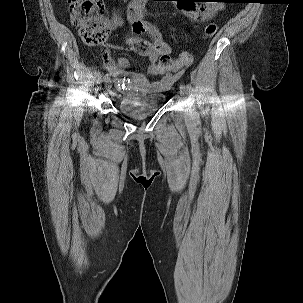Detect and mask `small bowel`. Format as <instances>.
Returning a JSON list of instances; mask_svg holds the SVG:
<instances>
[{
	"instance_id": "obj_1",
	"label": "small bowel",
	"mask_w": 303,
	"mask_h": 303,
	"mask_svg": "<svg viewBox=\"0 0 303 303\" xmlns=\"http://www.w3.org/2000/svg\"><path fill=\"white\" fill-rule=\"evenodd\" d=\"M147 0H131L127 7V19L131 25V31L127 42L138 54L145 56L151 65L148 73L150 75L161 74L160 79L149 81L144 75L130 72V62L127 57H119L114 60L110 49L105 46L102 49V64L112 75L119 89H124L128 84L139 93L165 91L169 89L176 75L172 70L163 71L157 66L158 58L164 52H170L169 46L162 40L159 30L153 24L144 20V6ZM221 0H208L205 3L187 0L184 5H180L181 10L187 18L192 21H207L212 19L223 9ZM123 24V19L119 12H115L110 20V27L116 29ZM143 34L149 36L142 38Z\"/></svg>"
}]
</instances>
